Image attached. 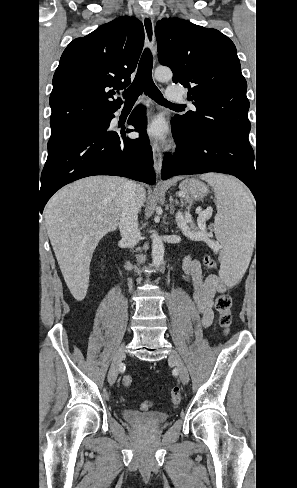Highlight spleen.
I'll return each instance as SVG.
<instances>
[{
	"label": "spleen",
	"mask_w": 297,
	"mask_h": 488,
	"mask_svg": "<svg viewBox=\"0 0 297 488\" xmlns=\"http://www.w3.org/2000/svg\"><path fill=\"white\" fill-rule=\"evenodd\" d=\"M215 192L214 233L222 250L220 277L228 284L240 281L254 247V206L249 192L236 179L214 173L200 176Z\"/></svg>",
	"instance_id": "spleen-1"
}]
</instances>
